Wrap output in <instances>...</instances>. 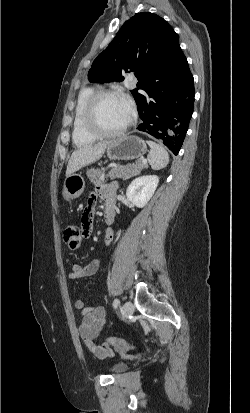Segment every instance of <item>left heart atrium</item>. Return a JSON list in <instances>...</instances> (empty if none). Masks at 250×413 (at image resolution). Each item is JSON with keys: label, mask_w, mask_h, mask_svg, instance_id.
I'll use <instances>...</instances> for the list:
<instances>
[{"label": "left heart atrium", "mask_w": 250, "mask_h": 413, "mask_svg": "<svg viewBox=\"0 0 250 413\" xmlns=\"http://www.w3.org/2000/svg\"><path fill=\"white\" fill-rule=\"evenodd\" d=\"M121 99H122V102H123V104L125 105L128 113H129V115H130V117H131L132 114H133V105H132L131 100H130L129 98H127V97H122Z\"/></svg>", "instance_id": "39dd6f15"}]
</instances>
